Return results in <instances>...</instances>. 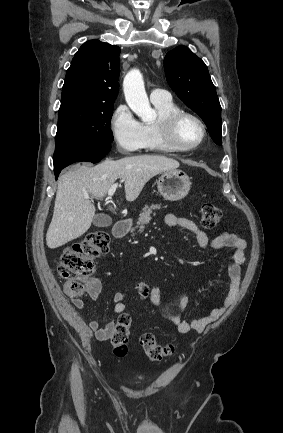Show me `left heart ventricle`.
<instances>
[{"mask_svg":"<svg viewBox=\"0 0 283 433\" xmlns=\"http://www.w3.org/2000/svg\"><path fill=\"white\" fill-rule=\"evenodd\" d=\"M176 137L179 143L187 146L201 137V129L194 120L191 118H185L178 126Z\"/></svg>","mask_w":283,"mask_h":433,"instance_id":"1","label":"left heart ventricle"}]
</instances>
